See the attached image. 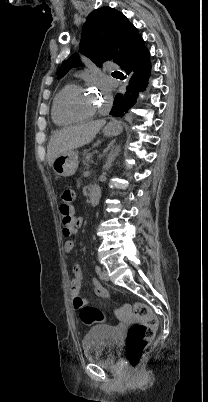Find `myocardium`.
Listing matches in <instances>:
<instances>
[{
    "label": "myocardium",
    "instance_id": "f54148a6",
    "mask_svg": "<svg viewBox=\"0 0 208 402\" xmlns=\"http://www.w3.org/2000/svg\"><path fill=\"white\" fill-rule=\"evenodd\" d=\"M85 88L81 85H74L72 86L63 96L62 99V107L65 113L73 118H78V119H87L93 116L99 109L100 103L99 102L93 109L89 111H80L72 105V99L73 97L81 92L84 91Z\"/></svg>",
    "mask_w": 208,
    "mask_h": 402
}]
</instances>
